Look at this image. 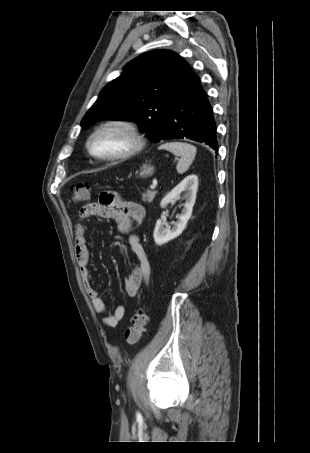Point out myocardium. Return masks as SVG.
I'll return each mask as SVG.
<instances>
[{
    "label": "myocardium",
    "mask_w": 310,
    "mask_h": 453,
    "mask_svg": "<svg viewBox=\"0 0 310 453\" xmlns=\"http://www.w3.org/2000/svg\"><path fill=\"white\" fill-rule=\"evenodd\" d=\"M109 130H118L122 133H124L129 141L130 145L128 148H126L123 151L114 153V154H109V155H100L97 154L91 146L92 140ZM145 145V139L140 133L138 127L136 124H134L131 121L124 120V119H115V120H109L106 121L99 126H97L91 134L88 136L87 141H86V150L89 153L91 157L98 161H103V162H109V161H117V160H122V159H127L129 157H132L139 153Z\"/></svg>",
    "instance_id": "1"
}]
</instances>
